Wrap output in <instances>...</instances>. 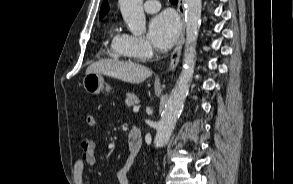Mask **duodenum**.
I'll return each instance as SVG.
<instances>
[{"mask_svg":"<svg viewBox=\"0 0 293 184\" xmlns=\"http://www.w3.org/2000/svg\"><path fill=\"white\" fill-rule=\"evenodd\" d=\"M142 146V133L138 127H133L128 137L129 154L135 157Z\"/></svg>","mask_w":293,"mask_h":184,"instance_id":"duodenum-1","label":"duodenum"}]
</instances>
